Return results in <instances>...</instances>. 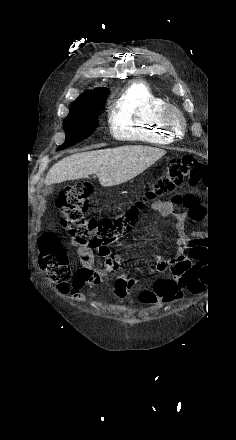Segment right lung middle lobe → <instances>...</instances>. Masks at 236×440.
Wrapping results in <instances>:
<instances>
[{"label":"right lung middle lobe","instance_id":"obj_1","mask_svg":"<svg viewBox=\"0 0 236 440\" xmlns=\"http://www.w3.org/2000/svg\"><path fill=\"white\" fill-rule=\"evenodd\" d=\"M107 95L73 102L63 123L66 140L57 150H62L88 138L98 126L97 118L104 108Z\"/></svg>","mask_w":236,"mask_h":440}]
</instances>
